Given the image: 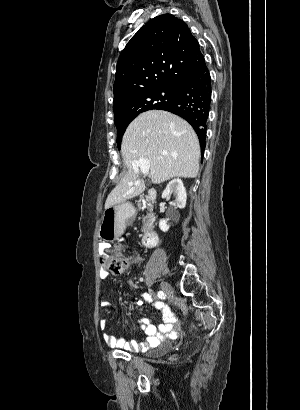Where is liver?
<instances>
[{
	"mask_svg": "<svg viewBox=\"0 0 300 410\" xmlns=\"http://www.w3.org/2000/svg\"><path fill=\"white\" fill-rule=\"evenodd\" d=\"M121 153L127 172L108 195L105 209L124 203L145 190L133 163L149 160V174L154 184L174 177L194 178L198 174L200 145L187 121L161 110H151L136 117L126 129Z\"/></svg>",
	"mask_w": 300,
	"mask_h": 410,
	"instance_id": "1",
	"label": "liver"
}]
</instances>
